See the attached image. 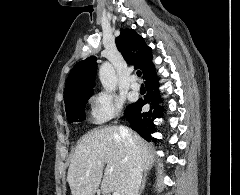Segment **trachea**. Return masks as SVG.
<instances>
[{
    "label": "trachea",
    "instance_id": "3493384b",
    "mask_svg": "<svg viewBox=\"0 0 240 195\" xmlns=\"http://www.w3.org/2000/svg\"><path fill=\"white\" fill-rule=\"evenodd\" d=\"M141 75H142V72H141L140 70H138V71H137V76H138V77H141Z\"/></svg>",
    "mask_w": 240,
    "mask_h": 195
}]
</instances>
